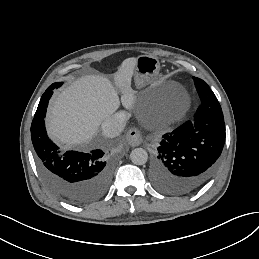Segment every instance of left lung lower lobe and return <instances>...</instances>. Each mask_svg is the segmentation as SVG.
I'll return each mask as SVG.
<instances>
[{
  "label": "left lung lower lobe",
  "instance_id": "obj_1",
  "mask_svg": "<svg viewBox=\"0 0 259 259\" xmlns=\"http://www.w3.org/2000/svg\"><path fill=\"white\" fill-rule=\"evenodd\" d=\"M201 105L194 121L165 134L150 169L159 191L187 195L203 186L215 173L225 142V123L215 94L198 91Z\"/></svg>",
  "mask_w": 259,
  "mask_h": 259
}]
</instances>
